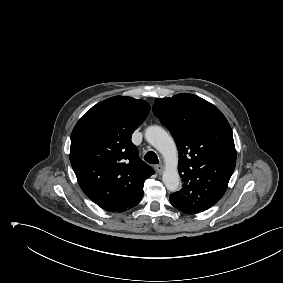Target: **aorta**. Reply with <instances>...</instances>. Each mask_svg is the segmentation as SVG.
<instances>
[{
	"label": "aorta",
	"mask_w": 283,
	"mask_h": 283,
	"mask_svg": "<svg viewBox=\"0 0 283 283\" xmlns=\"http://www.w3.org/2000/svg\"><path fill=\"white\" fill-rule=\"evenodd\" d=\"M145 138L164 157L165 170L162 176L164 185L171 192L177 191L180 187V176L177 169L178 152L173 138L157 125L146 129Z\"/></svg>",
	"instance_id": "aorta-1"
}]
</instances>
